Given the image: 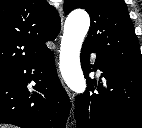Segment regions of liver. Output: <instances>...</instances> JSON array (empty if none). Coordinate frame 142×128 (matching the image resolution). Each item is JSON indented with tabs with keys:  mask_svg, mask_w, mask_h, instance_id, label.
<instances>
[{
	"mask_svg": "<svg viewBox=\"0 0 142 128\" xmlns=\"http://www.w3.org/2000/svg\"><path fill=\"white\" fill-rule=\"evenodd\" d=\"M0 128H8V127H6V126H1V125H0Z\"/></svg>",
	"mask_w": 142,
	"mask_h": 128,
	"instance_id": "1",
	"label": "liver"
}]
</instances>
